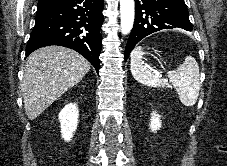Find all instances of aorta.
<instances>
[{
	"instance_id": "762f6f07",
	"label": "aorta",
	"mask_w": 227,
	"mask_h": 166,
	"mask_svg": "<svg viewBox=\"0 0 227 166\" xmlns=\"http://www.w3.org/2000/svg\"><path fill=\"white\" fill-rule=\"evenodd\" d=\"M134 0H120L121 32L130 33L134 23Z\"/></svg>"
}]
</instances>
